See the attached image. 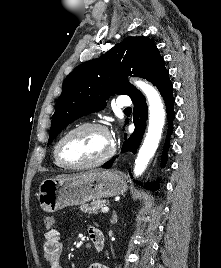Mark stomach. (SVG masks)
Listing matches in <instances>:
<instances>
[{"label":"stomach","mask_w":221,"mask_h":268,"mask_svg":"<svg viewBox=\"0 0 221 268\" xmlns=\"http://www.w3.org/2000/svg\"><path fill=\"white\" fill-rule=\"evenodd\" d=\"M127 190L124 175L117 171L84 173L74 177L44 180L38 190L40 207L53 213L67 206L123 194Z\"/></svg>","instance_id":"obj_1"}]
</instances>
